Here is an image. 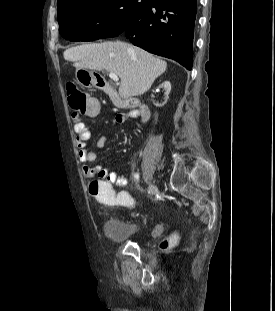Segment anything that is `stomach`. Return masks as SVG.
<instances>
[{
  "label": "stomach",
  "mask_w": 275,
  "mask_h": 311,
  "mask_svg": "<svg viewBox=\"0 0 275 311\" xmlns=\"http://www.w3.org/2000/svg\"><path fill=\"white\" fill-rule=\"evenodd\" d=\"M75 75L77 82L83 87L91 88L96 86V84L93 82L94 75L91 74V70L78 68Z\"/></svg>",
  "instance_id": "1"
}]
</instances>
